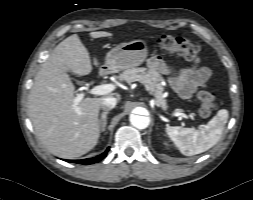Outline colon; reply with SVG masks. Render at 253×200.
I'll use <instances>...</instances> for the list:
<instances>
[{
	"label": "colon",
	"mask_w": 253,
	"mask_h": 200,
	"mask_svg": "<svg viewBox=\"0 0 253 200\" xmlns=\"http://www.w3.org/2000/svg\"><path fill=\"white\" fill-rule=\"evenodd\" d=\"M155 45L167 53L182 56L194 63L201 60V47L183 36L163 35L156 39ZM198 100L199 114L202 117H209L216 107L214 93L204 87L198 93Z\"/></svg>",
	"instance_id": "1"
}]
</instances>
